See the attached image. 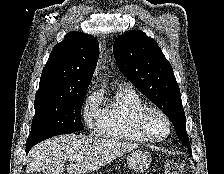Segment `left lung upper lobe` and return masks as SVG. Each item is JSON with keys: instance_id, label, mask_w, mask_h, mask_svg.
Segmentation results:
<instances>
[{"instance_id": "5c2ea615", "label": "left lung upper lobe", "mask_w": 224, "mask_h": 174, "mask_svg": "<svg viewBox=\"0 0 224 174\" xmlns=\"http://www.w3.org/2000/svg\"><path fill=\"white\" fill-rule=\"evenodd\" d=\"M113 53L123 74L170 118L191 153L180 89L157 43L141 31H132L116 39Z\"/></svg>"}]
</instances>
